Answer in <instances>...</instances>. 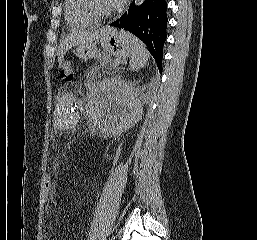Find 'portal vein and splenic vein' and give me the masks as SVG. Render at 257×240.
Masks as SVG:
<instances>
[{
	"mask_svg": "<svg viewBox=\"0 0 257 240\" xmlns=\"http://www.w3.org/2000/svg\"><path fill=\"white\" fill-rule=\"evenodd\" d=\"M120 62L119 61H116V64H119Z\"/></svg>",
	"mask_w": 257,
	"mask_h": 240,
	"instance_id": "18ae733b",
	"label": "portal vein and splenic vein"
}]
</instances>
